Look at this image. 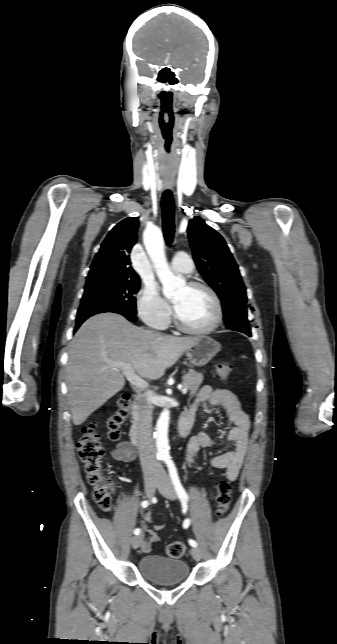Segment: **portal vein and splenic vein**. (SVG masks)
<instances>
[{
    "mask_svg": "<svg viewBox=\"0 0 337 644\" xmlns=\"http://www.w3.org/2000/svg\"><path fill=\"white\" fill-rule=\"evenodd\" d=\"M112 366L122 370L123 373L125 374L127 380L131 384L135 385L136 387L146 388L148 386V383L146 381H144L137 374H135V372L132 370V368H131L129 363L114 362L112 364ZM181 391H182L183 394H186L187 393V388L183 387Z\"/></svg>",
    "mask_w": 337,
    "mask_h": 644,
    "instance_id": "portal-vein-and-splenic-vein-1",
    "label": "portal vein and splenic vein"
}]
</instances>
